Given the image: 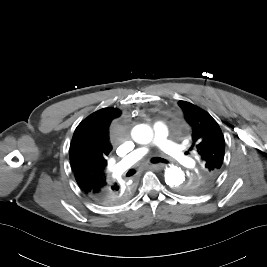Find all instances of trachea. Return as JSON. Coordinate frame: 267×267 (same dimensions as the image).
Instances as JSON below:
<instances>
[{"mask_svg": "<svg viewBox=\"0 0 267 267\" xmlns=\"http://www.w3.org/2000/svg\"><path fill=\"white\" fill-rule=\"evenodd\" d=\"M152 163H168L166 159L160 158V157H154L151 159ZM129 176L135 174V170L131 169L127 173Z\"/></svg>", "mask_w": 267, "mask_h": 267, "instance_id": "3493384b", "label": "trachea"}]
</instances>
